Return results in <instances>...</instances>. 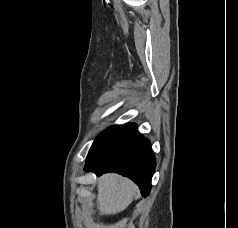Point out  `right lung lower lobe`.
<instances>
[{
    "mask_svg": "<svg viewBox=\"0 0 238 228\" xmlns=\"http://www.w3.org/2000/svg\"><path fill=\"white\" fill-rule=\"evenodd\" d=\"M156 161L149 140L137 132L135 123L115 125L101 133L87 156L84 170L97 175L117 172L132 179L147 196Z\"/></svg>",
    "mask_w": 238,
    "mask_h": 228,
    "instance_id": "obj_1",
    "label": "right lung lower lobe"
}]
</instances>
